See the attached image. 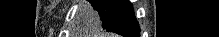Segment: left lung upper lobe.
<instances>
[{
	"mask_svg": "<svg viewBox=\"0 0 219 37\" xmlns=\"http://www.w3.org/2000/svg\"><path fill=\"white\" fill-rule=\"evenodd\" d=\"M98 11L102 26L106 30L113 22L124 0H89Z\"/></svg>",
	"mask_w": 219,
	"mask_h": 37,
	"instance_id": "5c2ea615",
	"label": "left lung upper lobe"
}]
</instances>
